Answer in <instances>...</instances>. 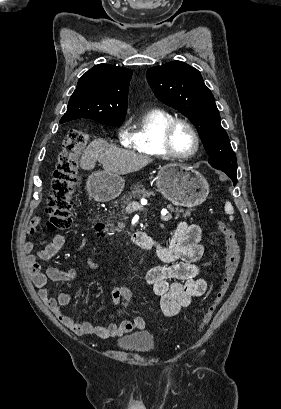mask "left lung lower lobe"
I'll return each mask as SVG.
<instances>
[{
    "instance_id": "obj_1",
    "label": "left lung lower lobe",
    "mask_w": 281,
    "mask_h": 409,
    "mask_svg": "<svg viewBox=\"0 0 281 409\" xmlns=\"http://www.w3.org/2000/svg\"><path fill=\"white\" fill-rule=\"evenodd\" d=\"M216 169L222 170L225 172L233 181L234 185L237 183V168H230V167H218Z\"/></svg>"
}]
</instances>
